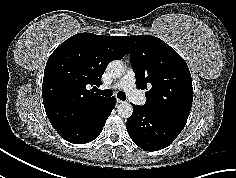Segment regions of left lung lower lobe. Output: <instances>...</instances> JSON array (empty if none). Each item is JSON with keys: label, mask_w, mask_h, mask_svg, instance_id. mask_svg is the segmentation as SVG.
I'll return each instance as SVG.
<instances>
[{"label": "left lung lower lobe", "mask_w": 236, "mask_h": 178, "mask_svg": "<svg viewBox=\"0 0 236 178\" xmlns=\"http://www.w3.org/2000/svg\"><path fill=\"white\" fill-rule=\"evenodd\" d=\"M132 105L133 114L127 119L126 128L132 141L144 150L157 151L169 146L186 125L144 106Z\"/></svg>", "instance_id": "0a47b994"}]
</instances>
